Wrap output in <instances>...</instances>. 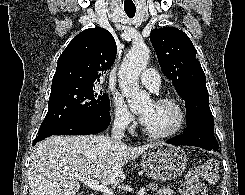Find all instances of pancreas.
Returning <instances> with one entry per match:
<instances>
[{"instance_id": "pancreas-1", "label": "pancreas", "mask_w": 245, "mask_h": 195, "mask_svg": "<svg viewBox=\"0 0 245 195\" xmlns=\"http://www.w3.org/2000/svg\"><path fill=\"white\" fill-rule=\"evenodd\" d=\"M148 186H149L150 190H154L158 187L156 183H149Z\"/></svg>"}]
</instances>
